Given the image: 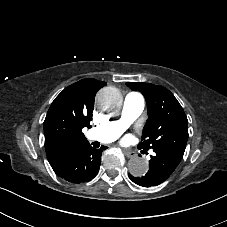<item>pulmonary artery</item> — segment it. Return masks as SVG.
<instances>
[{
	"label": "pulmonary artery",
	"mask_w": 227,
	"mask_h": 227,
	"mask_svg": "<svg viewBox=\"0 0 227 227\" xmlns=\"http://www.w3.org/2000/svg\"><path fill=\"white\" fill-rule=\"evenodd\" d=\"M146 99L137 89L130 90L123 103L122 118L106 122L87 131L86 137L90 141L110 142L118 138L125 128L137 117L145 106Z\"/></svg>",
	"instance_id": "e3ab8cb5"
}]
</instances>
